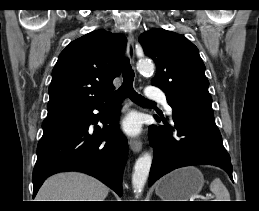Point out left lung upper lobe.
I'll return each instance as SVG.
<instances>
[{
	"label": "left lung upper lobe",
	"mask_w": 259,
	"mask_h": 211,
	"mask_svg": "<svg viewBox=\"0 0 259 211\" xmlns=\"http://www.w3.org/2000/svg\"><path fill=\"white\" fill-rule=\"evenodd\" d=\"M139 42L157 66L151 83L166 92L173 112L214 118L209 81L197 47L183 35L162 28L142 33Z\"/></svg>",
	"instance_id": "5c2ea615"
}]
</instances>
